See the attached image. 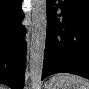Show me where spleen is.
Returning a JSON list of instances; mask_svg holds the SVG:
<instances>
[{
  "mask_svg": "<svg viewBox=\"0 0 89 89\" xmlns=\"http://www.w3.org/2000/svg\"><path fill=\"white\" fill-rule=\"evenodd\" d=\"M49 89H89V81L83 77L59 73L48 82Z\"/></svg>",
  "mask_w": 89,
  "mask_h": 89,
  "instance_id": "1",
  "label": "spleen"
}]
</instances>
